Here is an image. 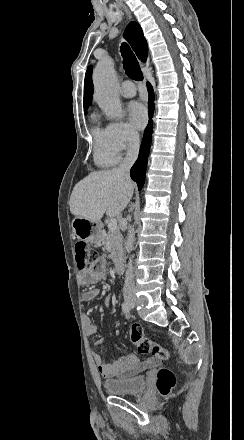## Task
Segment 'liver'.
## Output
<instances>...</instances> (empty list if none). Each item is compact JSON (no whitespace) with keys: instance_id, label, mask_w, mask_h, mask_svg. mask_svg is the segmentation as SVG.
Here are the masks:
<instances>
[{"instance_id":"obj_1","label":"liver","mask_w":244,"mask_h":440,"mask_svg":"<svg viewBox=\"0 0 244 440\" xmlns=\"http://www.w3.org/2000/svg\"><path fill=\"white\" fill-rule=\"evenodd\" d=\"M131 180H125L118 168L91 172L76 184L70 198V212L76 218L99 222L107 216H119L133 196Z\"/></svg>"}]
</instances>
